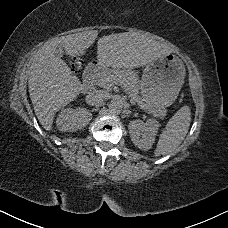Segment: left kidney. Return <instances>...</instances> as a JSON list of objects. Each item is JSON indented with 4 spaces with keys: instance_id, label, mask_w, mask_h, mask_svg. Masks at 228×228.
<instances>
[{
    "instance_id": "obj_1",
    "label": "left kidney",
    "mask_w": 228,
    "mask_h": 228,
    "mask_svg": "<svg viewBox=\"0 0 228 228\" xmlns=\"http://www.w3.org/2000/svg\"><path fill=\"white\" fill-rule=\"evenodd\" d=\"M159 126L156 119H148L145 123L142 120L131 121L128 129L132 142L141 150L151 149Z\"/></svg>"
}]
</instances>
